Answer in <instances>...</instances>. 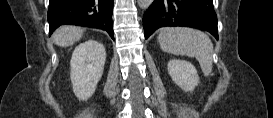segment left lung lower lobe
<instances>
[{
  "label": "left lung lower lobe",
  "instance_id": "1",
  "mask_svg": "<svg viewBox=\"0 0 273 118\" xmlns=\"http://www.w3.org/2000/svg\"><path fill=\"white\" fill-rule=\"evenodd\" d=\"M143 25L145 39L166 26L206 30L218 39L213 0H155L143 15Z\"/></svg>",
  "mask_w": 273,
  "mask_h": 118
}]
</instances>
